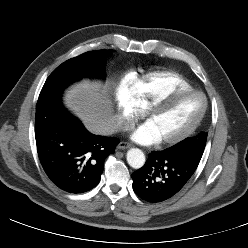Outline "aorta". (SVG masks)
Instances as JSON below:
<instances>
[{
  "mask_svg": "<svg viewBox=\"0 0 248 248\" xmlns=\"http://www.w3.org/2000/svg\"><path fill=\"white\" fill-rule=\"evenodd\" d=\"M127 162L132 168L139 169L145 164V155L140 149L131 148L127 152Z\"/></svg>",
  "mask_w": 248,
  "mask_h": 248,
  "instance_id": "1",
  "label": "aorta"
}]
</instances>
